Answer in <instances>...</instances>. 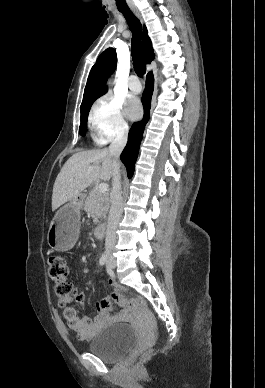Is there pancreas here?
<instances>
[{"label":"pancreas","instance_id":"cf45deb5","mask_svg":"<svg viewBox=\"0 0 265 388\" xmlns=\"http://www.w3.org/2000/svg\"><path fill=\"white\" fill-rule=\"evenodd\" d=\"M109 206V194H101L98 188H94V190H91L90 194H88L83 210H85V212H90L93 222L99 224L101 218H106Z\"/></svg>","mask_w":265,"mask_h":388}]
</instances>
